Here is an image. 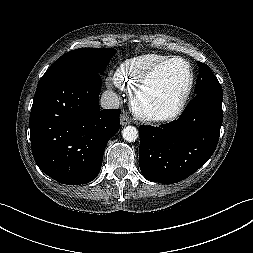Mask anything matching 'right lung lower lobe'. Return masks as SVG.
<instances>
[{
	"label": "right lung lower lobe",
	"mask_w": 253,
	"mask_h": 253,
	"mask_svg": "<svg viewBox=\"0 0 253 253\" xmlns=\"http://www.w3.org/2000/svg\"><path fill=\"white\" fill-rule=\"evenodd\" d=\"M101 78L60 75L38 83L30 114L34 160L68 185L92 181L109 139L120 127L119 109L100 110Z\"/></svg>",
	"instance_id": "1"
}]
</instances>
